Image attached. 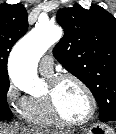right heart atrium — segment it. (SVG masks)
I'll use <instances>...</instances> for the list:
<instances>
[{"instance_id":"d8ad5b80","label":"right heart atrium","mask_w":116,"mask_h":134,"mask_svg":"<svg viewBox=\"0 0 116 134\" xmlns=\"http://www.w3.org/2000/svg\"><path fill=\"white\" fill-rule=\"evenodd\" d=\"M5 100L11 110L18 114L24 115L29 108L30 98L23 95L13 82H9L5 93Z\"/></svg>"}]
</instances>
